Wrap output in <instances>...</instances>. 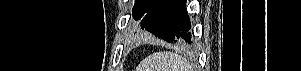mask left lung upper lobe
Here are the masks:
<instances>
[{
    "label": "left lung upper lobe",
    "mask_w": 301,
    "mask_h": 71,
    "mask_svg": "<svg viewBox=\"0 0 301 71\" xmlns=\"http://www.w3.org/2000/svg\"><path fill=\"white\" fill-rule=\"evenodd\" d=\"M159 0H136L132 15L135 20L142 19Z\"/></svg>",
    "instance_id": "1"
}]
</instances>
